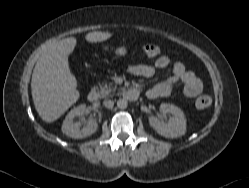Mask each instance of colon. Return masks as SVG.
I'll return each mask as SVG.
<instances>
[{
  "label": "colon",
  "instance_id": "1",
  "mask_svg": "<svg viewBox=\"0 0 249 188\" xmlns=\"http://www.w3.org/2000/svg\"><path fill=\"white\" fill-rule=\"evenodd\" d=\"M160 49L159 47L154 43L146 44L143 47V52L148 57L156 56L159 53ZM211 98L207 95H202L196 100V106L199 109H205L208 108L211 105Z\"/></svg>",
  "mask_w": 249,
  "mask_h": 188
}]
</instances>
